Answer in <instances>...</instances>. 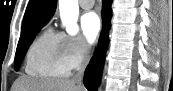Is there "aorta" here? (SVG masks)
<instances>
[{
	"mask_svg": "<svg viewBox=\"0 0 173 91\" xmlns=\"http://www.w3.org/2000/svg\"><path fill=\"white\" fill-rule=\"evenodd\" d=\"M59 10L62 23L66 27L68 34H77V20L79 15L78 0H59Z\"/></svg>",
	"mask_w": 173,
	"mask_h": 91,
	"instance_id": "aorta-1",
	"label": "aorta"
}]
</instances>
